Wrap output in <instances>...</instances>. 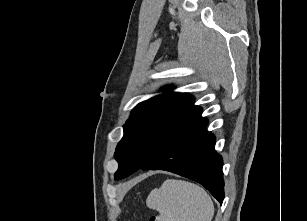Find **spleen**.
Segmentation results:
<instances>
[{
    "mask_svg": "<svg viewBox=\"0 0 307 221\" xmlns=\"http://www.w3.org/2000/svg\"><path fill=\"white\" fill-rule=\"evenodd\" d=\"M146 205L165 221H211L214 216V204L207 192L183 180H166L150 192Z\"/></svg>",
    "mask_w": 307,
    "mask_h": 221,
    "instance_id": "3e777b00",
    "label": "spleen"
}]
</instances>
